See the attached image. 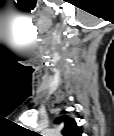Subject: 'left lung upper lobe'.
I'll return each mask as SVG.
<instances>
[{
	"label": "left lung upper lobe",
	"instance_id": "5c2ea615",
	"mask_svg": "<svg viewBox=\"0 0 114 136\" xmlns=\"http://www.w3.org/2000/svg\"><path fill=\"white\" fill-rule=\"evenodd\" d=\"M64 122L62 134L64 136H81L82 130L77 126L74 119L67 116H62L55 123Z\"/></svg>",
	"mask_w": 114,
	"mask_h": 136
}]
</instances>
